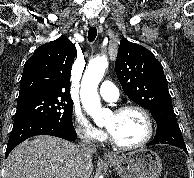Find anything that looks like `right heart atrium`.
Masks as SVG:
<instances>
[{
  "label": "right heart atrium",
  "instance_id": "d8ad5b80",
  "mask_svg": "<svg viewBox=\"0 0 194 178\" xmlns=\"http://www.w3.org/2000/svg\"><path fill=\"white\" fill-rule=\"evenodd\" d=\"M74 126L78 136L85 142L100 143L106 138L105 133L94 127L82 113L75 114Z\"/></svg>",
  "mask_w": 194,
  "mask_h": 178
}]
</instances>
